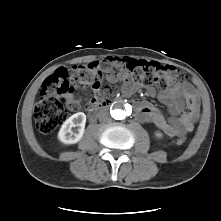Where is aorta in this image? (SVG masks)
<instances>
[{
  "label": "aorta",
  "instance_id": "obj_1",
  "mask_svg": "<svg viewBox=\"0 0 221 221\" xmlns=\"http://www.w3.org/2000/svg\"><path fill=\"white\" fill-rule=\"evenodd\" d=\"M111 116L115 120H123L127 116V110H125L124 105L117 104L113 106V109L111 110Z\"/></svg>",
  "mask_w": 221,
  "mask_h": 221
}]
</instances>
